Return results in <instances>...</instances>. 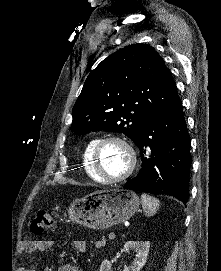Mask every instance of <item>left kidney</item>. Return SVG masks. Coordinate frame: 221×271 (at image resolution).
<instances>
[{"mask_svg": "<svg viewBox=\"0 0 221 271\" xmlns=\"http://www.w3.org/2000/svg\"><path fill=\"white\" fill-rule=\"evenodd\" d=\"M136 251L135 257L123 271H140L146 263L147 255L150 249V241H126L122 251ZM100 271H112V263L109 259H104L100 265Z\"/></svg>", "mask_w": 221, "mask_h": 271, "instance_id": "1", "label": "left kidney"}]
</instances>
